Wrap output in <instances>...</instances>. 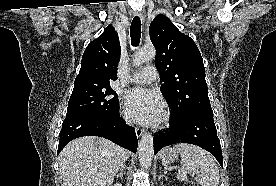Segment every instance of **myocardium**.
<instances>
[{
	"label": "myocardium",
	"mask_w": 276,
	"mask_h": 186,
	"mask_svg": "<svg viewBox=\"0 0 276 186\" xmlns=\"http://www.w3.org/2000/svg\"><path fill=\"white\" fill-rule=\"evenodd\" d=\"M169 120H170V113L168 110L164 109L162 112H161V115L159 116L155 126L157 128H160V127H165L168 125L169 123Z\"/></svg>",
	"instance_id": "myocardium-1"
}]
</instances>
